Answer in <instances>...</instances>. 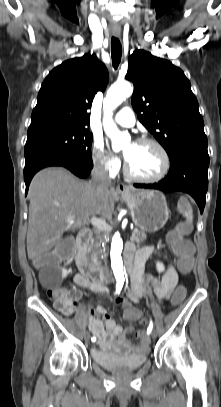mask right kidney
<instances>
[{"label": "right kidney", "mask_w": 221, "mask_h": 407, "mask_svg": "<svg viewBox=\"0 0 221 407\" xmlns=\"http://www.w3.org/2000/svg\"><path fill=\"white\" fill-rule=\"evenodd\" d=\"M58 272L61 274V276H62L63 278L66 277V276L70 273L69 270H66V269H64V268L58 269Z\"/></svg>", "instance_id": "ca27d5eb"}]
</instances>
